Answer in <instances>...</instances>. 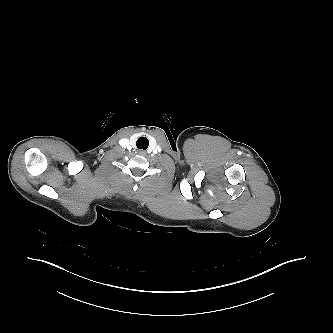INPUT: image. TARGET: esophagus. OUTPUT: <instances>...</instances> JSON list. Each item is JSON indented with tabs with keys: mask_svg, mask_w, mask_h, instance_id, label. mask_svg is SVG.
Here are the masks:
<instances>
[{
	"mask_svg": "<svg viewBox=\"0 0 333 333\" xmlns=\"http://www.w3.org/2000/svg\"><path fill=\"white\" fill-rule=\"evenodd\" d=\"M138 154H140V155H145L146 152H145L144 150H139V151H138Z\"/></svg>",
	"mask_w": 333,
	"mask_h": 333,
	"instance_id": "obj_1",
	"label": "esophagus"
}]
</instances>
